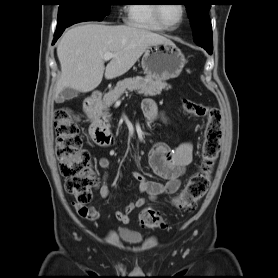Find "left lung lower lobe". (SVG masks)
Listing matches in <instances>:
<instances>
[{
  "mask_svg": "<svg viewBox=\"0 0 278 278\" xmlns=\"http://www.w3.org/2000/svg\"><path fill=\"white\" fill-rule=\"evenodd\" d=\"M209 54H212L213 48H205Z\"/></svg>",
  "mask_w": 278,
  "mask_h": 278,
  "instance_id": "obj_1",
  "label": "left lung lower lobe"
}]
</instances>
